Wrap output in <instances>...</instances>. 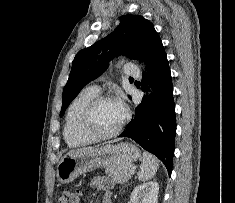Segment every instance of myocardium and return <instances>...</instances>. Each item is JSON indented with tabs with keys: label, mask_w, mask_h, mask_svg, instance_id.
Masks as SVG:
<instances>
[{
	"label": "myocardium",
	"mask_w": 235,
	"mask_h": 203,
	"mask_svg": "<svg viewBox=\"0 0 235 203\" xmlns=\"http://www.w3.org/2000/svg\"><path fill=\"white\" fill-rule=\"evenodd\" d=\"M110 100H115V99L110 95L98 94L97 96L92 98L83 109L80 118V130L94 140L109 139L117 136L119 133L122 132V130L124 129L125 125L127 124L130 118L129 109L126 106L122 105L124 108V117L120 122V124L114 130L110 132H100L96 130L95 127L93 126L94 112L100 103Z\"/></svg>",
	"instance_id": "1"
}]
</instances>
